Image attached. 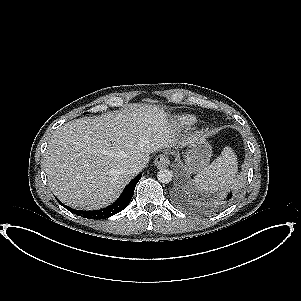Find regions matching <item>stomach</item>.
<instances>
[{
    "label": "stomach",
    "mask_w": 301,
    "mask_h": 301,
    "mask_svg": "<svg viewBox=\"0 0 301 301\" xmlns=\"http://www.w3.org/2000/svg\"><path fill=\"white\" fill-rule=\"evenodd\" d=\"M189 150L185 155L184 169L188 172H199L210 161L212 148L203 137H195L188 144Z\"/></svg>",
    "instance_id": "obj_1"
}]
</instances>
